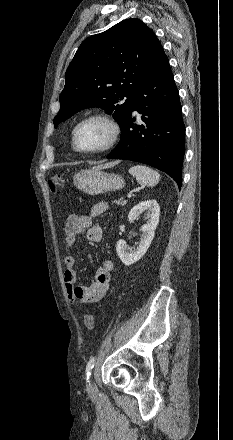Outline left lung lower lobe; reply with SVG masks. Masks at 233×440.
<instances>
[{
    "label": "left lung lower lobe",
    "mask_w": 233,
    "mask_h": 440,
    "mask_svg": "<svg viewBox=\"0 0 233 440\" xmlns=\"http://www.w3.org/2000/svg\"><path fill=\"white\" fill-rule=\"evenodd\" d=\"M137 110L144 122L136 125ZM181 103L168 58L164 51L136 91L121 140L107 159H124L148 164L182 183L185 154V125Z\"/></svg>",
    "instance_id": "0a47b994"
}]
</instances>
